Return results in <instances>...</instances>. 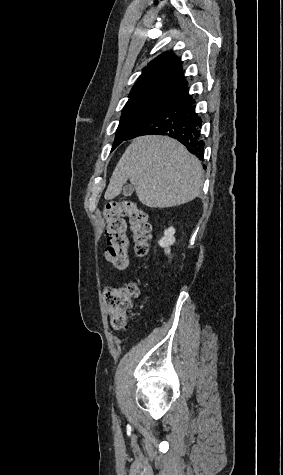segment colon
I'll return each mask as SVG.
<instances>
[{
    "label": "colon",
    "mask_w": 283,
    "mask_h": 475,
    "mask_svg": "<svg viewBox=\"0 0 283 475\" xmlns=\"http://www.w3.org/2000/svg\"><path fill=\"white\" fill-rule=\"evenodd\" d=\"M106 221L105 234L108 242L104 258L117 270L129 265V242L125 234L124 218H128L132 245L136 255L148 256L151 247V228L145 210L138 208L130 200L108 203L103 213ZM138 282L109 286L105 302L109 312V322L115 330L127 331V317L139 295Z\"/></svg>",
    "instance_id": "colon-1"
}]
</instances>
